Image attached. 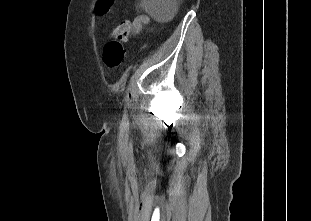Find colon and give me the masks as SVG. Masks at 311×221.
<instances>
[{"label":"colon","instance_id":"obj_1","mask_svg":"<svg viewBox=\"0 0 311 221\" xmlns=\"http://www.w3.org/2000/svg\"><path fill=\"white\" fill-rule=\"evenodd\" d=\"M111 3L112 0H99V2H95V16L104 18L106 16V9H111ZM131 28V22H122L114 32L118 34V36H121V34L129 36ZM124 59L125 49L122 45V41H110L104 47L103 60L109 69H119L123 64Z\"/></svg>","mask_w":311,"mask_h":221}]
</instances>
